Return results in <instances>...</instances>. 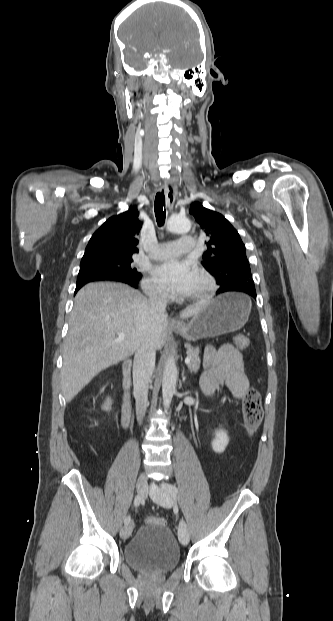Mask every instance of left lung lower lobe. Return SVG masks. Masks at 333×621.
Segmentation results:
<instances>
[{"mask_svg": "<svg viewBox=\"0 0 333 621\" xmlns=\"http://www.w3.org/2000/svg\"><path fill=\"white\" fill-rule=\"evenodd\" d=\"M225 292H243L254 299H256V290L254 285L246 284V283H236L225 286L217 291V294H222Z\"/></svg>", "mask_w": 333, "mask_h": 621, "instance_id": "1", "label": "left lung lower lobe"}]
</instances>
